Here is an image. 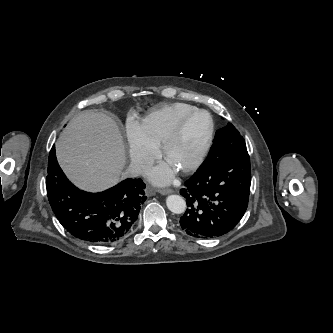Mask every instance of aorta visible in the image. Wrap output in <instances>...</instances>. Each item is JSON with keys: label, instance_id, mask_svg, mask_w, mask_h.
I'll use <instances>...</instances> for the list:
<instances>
[{"label": "aorta", "instance_id": "obj_1", "mask_svg": "<svg viewBox=\"0 0 333 333\" xmlns=\"http://www.w3.org/2000/svg\"><path fill=\"white\" fill-rule=\"evenodd\" d=\"M166 205L168 209L176 214L184 213L186 210V202L179 195H170L167 197Z\"/></svg>", "mask_w": 333, "mask_h": 333}]
</instances>
